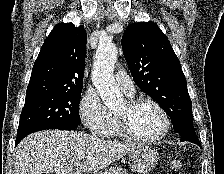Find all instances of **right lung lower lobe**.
<instances>
[{
  "instance_id": "obj_1",
  "label": "right lung lower lobe",
  "mask_w": 224,
  "mask_h": 174,
  "mask_svg": "<svg viewBox=\"0 0 224 174\" xmlns=\"http://www.w3.org/2000/svg\"><path fill=\"white\" fill-rule=\"evenodd\" d=\"M77 126H67V127H63L60 130H72L75 129ZM36 132L34 130H27V131H23V132H18L17 133V139H16V145L28 134Z\"/></svg>"
}]
</instances>
